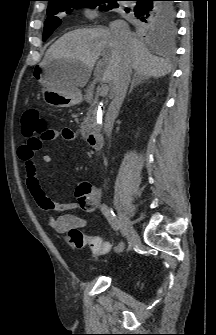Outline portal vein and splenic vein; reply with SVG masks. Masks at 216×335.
I'll use <instances>...</instances> for the list:
<instances>
[{
    "label": "portal vein and splenic vein",
    "instance_id": "18ae733b",
    "mask_svg": "<svg viewBox=\"0 0 216 335\" xmlns=\"http://www.w3.org/2000/svg\"><path fill=\"white\" fill-rule=\"evenodd\" d=\"M109 91V86L107 84L102 85V87L98 90L101 96H106Z\"/></svg>",
    "mask_w": 216,
    "mask_h": 335
}]
</instances>
